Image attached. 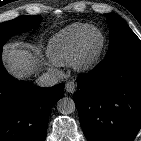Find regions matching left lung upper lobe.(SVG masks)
I'll return each instance as SVG.
<instances>
[{"label":"left lung upper lobe","instance_id":"5c2ea615","mask_svg":"<svg viewBox=\"0 0 141 141\" xmlns=\"http://www.w3.org/2000/svg\"><path fill=\"white\" fill-rule=\"evenodd\" d=\"M104 15L110 25V43L106 58L120 53H141V41L125 21L114 13Z\"/></svg>","mask_w":141,"mask_h":141}]
</instances>
